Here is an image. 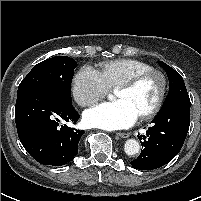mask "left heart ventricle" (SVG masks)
I'll use <instances>...</instances> for the list:
<instances>
[{
    "mask_svg": "<svg viewBox=\"0 0 201 201\" xmlns=\"http://www.w3.org/2000/svg\"><path fill=\"white\" fill-rule=\"evenodd\" d=\"M160 81L156 76H150L130 89H117L115 98L125 101L138 116L148 111L156 102Z\"/></svg>",
    "mask_w": 201,
    "mask_h": 201,
    "instance_id": "left-heart-ventricle-1",
    "label": "left heart ventricle"
}]
</instances>
